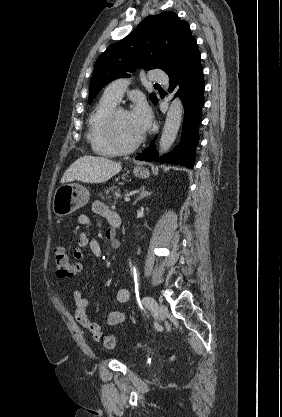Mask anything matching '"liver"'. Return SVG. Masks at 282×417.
I'll return each instance as SVG.
<instances>
[{
    "instance_id": "1",
    "label": "liver",
    "mask_w": 282,
    "mask_h": 417,
    "mask_svg": "<svg viewBox=\"0 0 282 417\" xmlns=\"http://www.w3.org/2000/svg\"><path fill=\"white\" fill-rule=\"evenodd\" d=\"M121 162H115L105 156H80L65 170L61 182L81 180V182H106L120 172Z\"/></svg>"
}]
</instances>
